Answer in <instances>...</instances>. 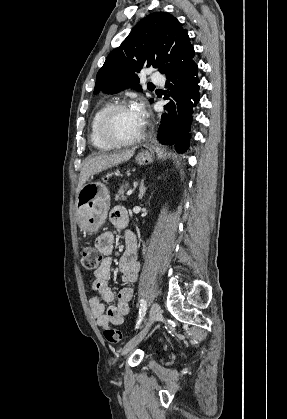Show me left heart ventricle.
Returning a JSON list of instances; mask_svg holds the SVG:
<instances>
[{
    "label": "left heart ventricle",
    "mask_w": 287,
    "mask_h": 419,
    "mask_svg": "<svg viewBox=\"0 0 287 419\" xmlns=\"http://www.w3.org/2000/svg\"><path fill=\"white\" fill-rule=\"evenodd\" d=\"M142 128L143 122L130 107L116 112L110 123L111 132L122 139L135 137L141 132Z\"/></svg>",
    "instance_id": "obj_1"
}]
</instances>
